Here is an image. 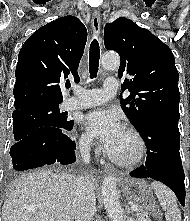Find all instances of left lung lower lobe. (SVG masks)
I'll use <instances>...</instances> for the list:
<instances>
[{
  "label": "left lung lower lobe",
  "mask_w": 190,
  "mask_h": 221,
  "mask_svg": "<svg viewBox=\"0 0 190 221\" xmlns=\"http://www.w3.org/2000/svg\"><path fill=\"white\" fill-rule=\"evenodd\" d=\"M177 118L156 116L138 130L147 147L145 165L130 173L132 177H150L174 191L185 205L184 170L179 152L180 133Z\"/></svg>",
  "instance_id": "left-lung-lower-lobe-1"
}]
</instances>
